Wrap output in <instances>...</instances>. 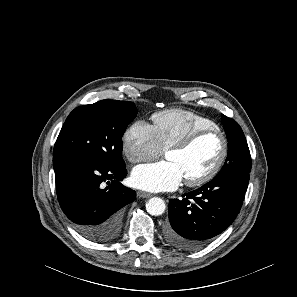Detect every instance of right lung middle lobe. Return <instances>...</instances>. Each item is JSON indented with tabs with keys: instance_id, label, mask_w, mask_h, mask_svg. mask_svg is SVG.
<instances>
[{
	"instance_id": "1",
	"label": "right lung middle lobe",
	"mask_w": 297,
	"mask_h": 297,
	"mask_svg": "<svg viewBox=\"0 0 297 297\" xmlns=\"http://www.w3.org/2000/svg\"><path fill=\"white\" fill-rule=\"evenodd\" d=\"M134 103L101 100L75 108L56 140L53 157L74 155L113 167L125 166L122 136L134 118Z\"/></svg>"
}]
</instances>
